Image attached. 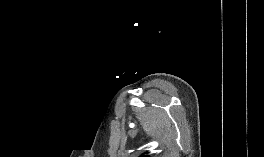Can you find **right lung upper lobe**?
Instances as JSON below:
<instances>
[{
    "label": "right lung upper lobe",
    "instance_id": "obj_1",
    "mask_svg": "<svg viewBox=\"0 0 264 157\" xmlns=\"http://www.w3.org/2000/svg\"><path fill=\"white\" fill-rule=\"evenodd\" d=\"M139 157H149L148 155H142V156H139Z\"/></svg>",
    "mask_w": 264,
    "mask_h": 157
}]
</instances>
